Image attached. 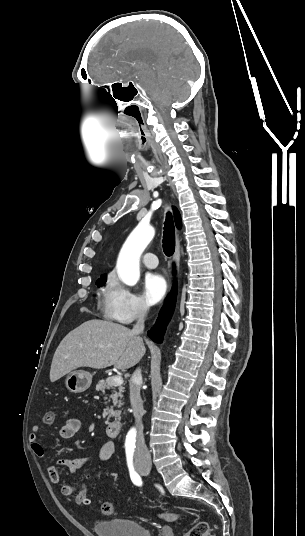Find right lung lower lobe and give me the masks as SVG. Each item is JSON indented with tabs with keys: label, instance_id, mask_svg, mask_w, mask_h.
I'll list each match as a JSON object with an SVG mask.
<instances>
[{
	"label": "right lung lower lobe",
	"instance_id": "obj_1",
	"mask_svg": "<svg viewBox=\"0 0 305 536\" xmlns=\"http://www.w3.org/2000/svg\"><path fill=\"white\" fill-rule=\"evenodd\" d=\"M176 287L173 288L167 298L154 327L148 331V336L156 343H161L166 330V326L173 314L175 307Z\"/></svg>",
	"mask_w": 305,
	"mask_h": 536
}]
</instances>
